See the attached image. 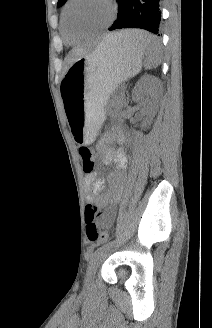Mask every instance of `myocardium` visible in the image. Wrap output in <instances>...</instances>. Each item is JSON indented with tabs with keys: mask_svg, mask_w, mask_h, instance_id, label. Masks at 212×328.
<instances>
[{
	"mask_svg": "<svg viewBox=\"0 0 212 328\" xmlns=\"http://www.w3.org/2000/svg\"><path fill=\"white\" fill-rule=\"evenodd\" d=\"M75 2V0H68L64 9H63V20H64V23H65V27L67 29L68 32H72L71 28H70V24H69V20H68V10L70 8V6ZM105 2L109 5L110 7V10H111V15H110V21L109 23H106L105 25L101 26V27H98V28H95V29H91V30H87L85 32H83L84 34L86 35H89V34H96V33H99L105 29H107L111 22L115 19V16H116V13H117V7H116V4H115V1L114 0H105Z\"/></svg>",
	"mask_w": 212,
	"mask_h": 328,
	"instance_id": "myocardium-1",
	"label": "myocardium"
}]
</instances>
